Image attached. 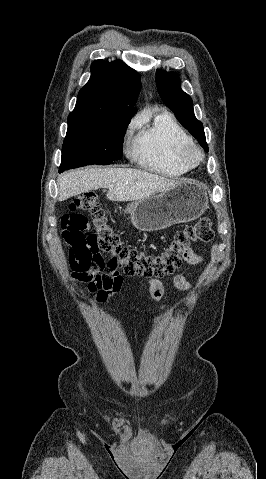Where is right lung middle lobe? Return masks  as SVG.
Listing matches in <instances>:
<instances>
[{
    "label": "right lung middle lobe",
    "instance_id": "right-lung-middle-lobe-1",
    "mask_svg": "<svg viewBox=\"0 0 266 479\" xmlns=\"http://www.w3.org/2000/svg\"><path fill=\"white\" fill-rule=\"evenodd\" d=\"M129 123L124 118L68 117L59 171L120 159Z\"/></svg>",
    "mask_w": 266,
    "mask_h": 479
}]
</instances>
